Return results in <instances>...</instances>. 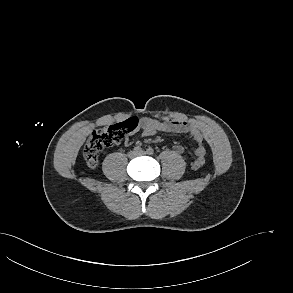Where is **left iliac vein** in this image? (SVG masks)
<instances>
[{
	"instance_id": "4c4485c4",
	"label": "left iliac vein",
	"mask_w": 293,
	"mask_h": 293,
	"mask_svg": "<svg viewBox=\"0 0 293 293\" xmlns=\"http://www.w3.org/2000/svg\"><path fill=\"white\" fill-rule=\"evenodd\" d=\"M144 154H146L145 151H141V152L138 153V155H144Z\"/></svg>"
}]
</instances>
